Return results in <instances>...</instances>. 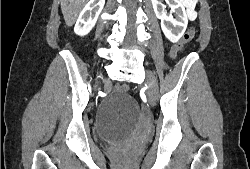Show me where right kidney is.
Here are the masks:
<instances>
[{"instance_id": "ca27d5eb", "label": "right kidney", "mask_w": 250, "mask_h": 169, "mask_svg": "<svg viewBox=\"0 0 250 169\" xmlns=\"http://www.w3.org/2000/svg\"><path fill=\"white\" fill-rule=\"evenodd\" d=\"M104 4L105 0H89L76 20L74 32L80 34V36L88 34L93 28Z\"/></svg>"}]
</instances>
